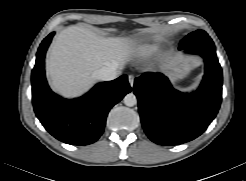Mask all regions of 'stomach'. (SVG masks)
Wrapping results in <instances>:
<instances>
[{"label":"stomach","instance_id":"0dacf381","mask_svg":"<svg viewBox=\"0 0 246 181\" xmlns=\"http://www.w3.org/2000/svg\"><path fill=\"white\" fill-rule=\"evenodd\" d=\"M190 72V65L187 61H181L170 72V79L173 83H176L184 79Z\"/></svg>","mask_w":246,"mask_h":181}]
</instances>
